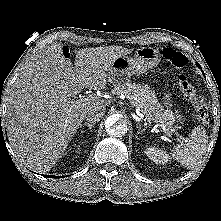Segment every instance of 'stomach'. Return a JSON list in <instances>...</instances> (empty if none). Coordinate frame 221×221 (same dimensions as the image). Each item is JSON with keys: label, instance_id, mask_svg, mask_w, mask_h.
I'll return each mask as SVG.
<instances>
[{"label": "stomach", "instance_id": "obj_1", "mask_svg": "<svg viewBox=\"0 0 221 221\" xmlns=\"http://www.w3.org/2000/svg\"><path fill=\"white\" fill-rule=\"evenodd\" d=\"M160 62V54L152 47H141L133 57L123 55L118 57L108 71V81L119 86L128 82L133 74L141 75L154 68ZM149 90V87H144ZM150 91V90H149Z\"/></svg>", "mask_w": 221, "mask_h": 221}]
</instances>
